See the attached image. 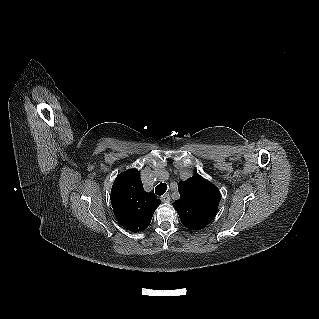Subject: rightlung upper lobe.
Here are the masks:
<instances>
[{"label": "right lung upper lobe", "instance_id": "cb5924a9", "mask_svg": "<svg viewBox=\"0 0 319 319\" xmlns=\"http://www.w3.org/2000/svg\"><path fill=\"white\" fill-rule=\"evenodd\" d=\"M111 203L117 221L127 230L137 233L149 226L160 200L144 191L139 172L131 169L115 179Z\"/></svg>", "mask_w": 319, "mask_h": 319}]
</instances>
